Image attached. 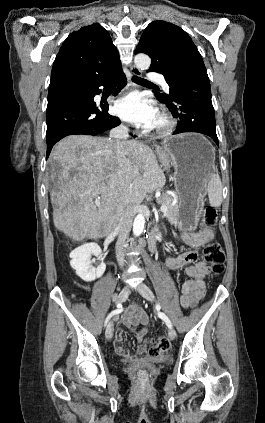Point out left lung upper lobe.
I'll list each match as a JSON object with an SVG mask.
<instances>
[{"mask_svg": "<svg viewBox=\"0 0 265 423\" xmlns=\"http://www.w3.org/2000/svg\"><path fill=\"white\" fill-rule=\"evenodd\" d=\"M135 53L149 55L152 59L149 71L161 74H169L174 68L192 59L201 58L197 47L184 30L160 20L147 26ZM161 95L167 96L165 93Z\"/></svg>", "mask_w": 265, "mask_h": 423, "instance_id": "obj_1", "label": "left lung upper lobe"}]
</instances>
